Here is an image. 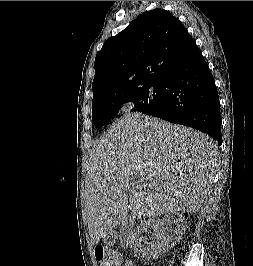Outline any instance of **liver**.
Masks as SVG:
<instances>
[{
    "label": "liver",
    "mask_w": 253,
    "mask_h": 266,
    "mask_svg": "<svg viewBox=\"0 0 253 266\" xmlns=\"http://www.w3.org/2000/svg\"><path fill=\"white\" fill-rule=\"evenodd\" d=\"M217 152L210 136L189 127L135 113L116 120L89 153L85 217L91 243L134 219L196 213L211 186ZM132 179L143 189L135 191Z\"/></svg>",
    "instance_id": "1"
}]
</instances>
